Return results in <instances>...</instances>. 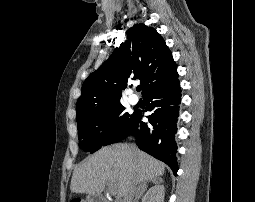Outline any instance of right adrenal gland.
Returning <instances> with one entry per match:
<instances>
[{"mask_svg":"<svg viewBox=\"0 0 255 202\" xmlns=\"http://www.w3.org/2000/svg\"><path fill=\"white\" fill-rule=\"evenodd\" d=\"M162 181H163L162 178H154V179L150 180L148 183L158 184V183H162ZM148 183L145 184V190H147V188H148ZM145 190L142 191L140 194L138 193L136 195L134 202H138V200L143 196V193L145 192Z\"/></svg>","mask_w":255,"mask_h":202,"instance_id":"obj_1","label":"right adrenal gland"}]
</instances>
